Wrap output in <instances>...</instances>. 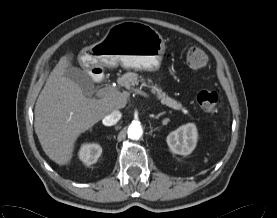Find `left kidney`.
Wrapping results in <instances>:
<instances>
[{"label":"left kidney","instance_id":"1","mask_svg":"<svg viewBox=\"0 0 277 218\" xmlns=\"http://www.w3.org/2000/svg\"><path fill=\"white\" fill-rule=\"evenodd\" d=\"M197 137L195 124L188 123L170 132L166 141L173 153L186 156L195 149Z\"/></svg>","mask_w":277,"mask_h":218}]
</instances>
